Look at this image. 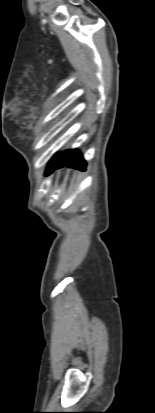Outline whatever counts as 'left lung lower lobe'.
I'll return each mask as SVG.
<instances>
[{
  "label": "left lung lower lobe",
  "instance_id": "left-lung-lower-lobe-1",
  "mask_svg": "<svg viewBox=\"0 0 155 413\" xmlns=\"http://www.w3.org/2000/svg\"><path fill=\"white\" fill-rule=\"evenodd\" d=\"M62 167L75 168L85 170L86 161L83 159L81 153L77 149L67 150L65 152L55 155L49 162L45 175H49L55 169Z\"/></svg>",
  "mask_w": 155,
  "mask_h": 413
}]
</instances>
